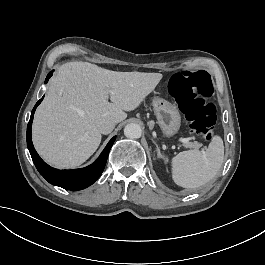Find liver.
<instances>
[{
    "mask_svg": "<svg viewBox=\"0 0 265 265\" xmlns=\"http://www.w3.org/2000/svg\"><path fill=\"white\" fill-rule=\"evenodd\" d=\"M161 79L160 73L116 72L82 61L61 65L34 116L35 149L53 167H78L100 145L96 121L125 120L124 111L137 108Z\"/></svg>",
    "mask_w": 265,
    "mask_h": 265,
    "instance_id": "6515ba94",
    "label": "liver"
}]
</instances>
